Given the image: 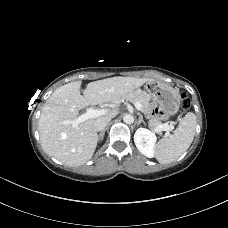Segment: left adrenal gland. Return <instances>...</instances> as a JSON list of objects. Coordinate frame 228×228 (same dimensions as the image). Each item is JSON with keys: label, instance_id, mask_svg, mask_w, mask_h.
I'll return each instance as SVG.
<instances>
[{"label": "left adrenal gland", "instance_id": "obj_1", "mask_svg": "<svg viewBox=\"0 0 228 228\" xmlns=\"http://www.w3.org/2000/svg\"><path fill=\"white\" fill-rule=\"evenodd\" d=\"M140 123H143L144 125H146L145 121L143 120V117L141 114H139V119H138V122L137 124H140Z\"/></svg>", "mask_w": 228, "mask_h": 228}]
</instances>
